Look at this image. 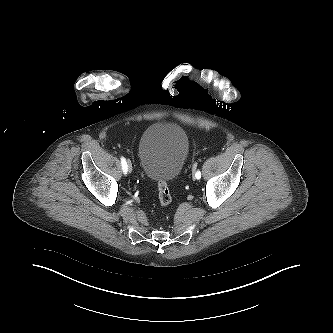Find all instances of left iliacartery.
Wrapping results in <instances>:
<instances>
[{
	"label": "left iliac artery",
	"instance_id": "left-iliac-artery-1",
	"mask_svg": "<svg viewBox=\"0 0 333 333\" xmlns=\"http://www.w3.org/2000/svg\"><path fill=\"white\" fill-rule=\"evenodd\" d=\"M195 168V167H194ZM195 177L196 179H200L201 178V172L200 170H197L196 173H195Z\"/></svg>",
	"mask_w": 333,
	"mask_h": 333
}]
</instances>
